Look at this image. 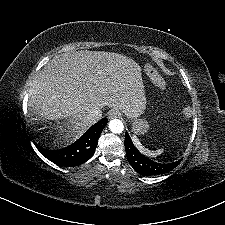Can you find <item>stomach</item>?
I'll return each mask as SVG.
<instances>
[{"mask_svg": "<svg viewBox=\"0 0 225 225\" xmlns=\"http://www.w3.org/2000/svg\"><path fill=\"white\" fill-rule=\"evenodd\" d=\"M133 129L136 133L144 134L149 129V124L145 120L134 118Z\"/></svg>", "mask_w": 225, "mask_h": 225, "instance_id": "0dacf381", "label": "stomach"}]
</instances>
